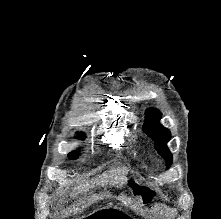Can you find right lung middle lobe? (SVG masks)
Instances as JSON below:
<instances>
[{"instance_id": "1", "label": "right lung middle lobe", "mask_w": 221, "mask_h": 219, "mask_svg": "<svg viewBox=\"0 0 221 219\" xmlns=\"http://www.w3.org/2000/svg\"><path fill=\"white\" fill-rule=\"evenodd\" d=\"M77 138L83 139L84 138L83 133H78ZM68 156L70 159H76L78 157V154L75 151H73V152L69 153Z\"/></svg>"}]
</instances>
